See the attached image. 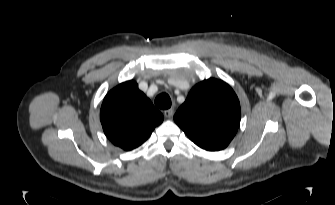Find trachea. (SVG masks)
<instances>
[{
	"label": "trachea",
	"instance_id": "3493384b",
	"mask_svg": "<svg viewBox=\"0 0 335 205\" xmlns=\"http://www.w3.org/2000/svg\"><path fill=\"white\" fill-rule=\"evenodd\" d=\"M155 105L160 109H169L171 107V98L166 93L159 94L155 99Z\"/></svg>",
	"mask_w": 335,
	"mask_h": 205
}]
</instances>
